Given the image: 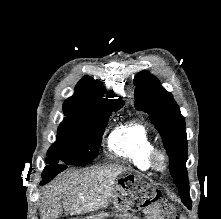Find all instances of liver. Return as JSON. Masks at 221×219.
<instances>
[{"label":"liver","mask_w":221,"mask_h":219,"mask_svg":"<svg viewBox=\"0 0 221 219\" xmlns=\"http://www.w3.org/2000/svg\"><path fill=\"white\" fill-rule=\"evenodd\" d=\"M128 170L112 165L66 171L45 187L41 219H58L63 210L79 215L106 207L114 197L117 177Z\"/></svg>","instance_id":"6515ba94"}]
</instances>
